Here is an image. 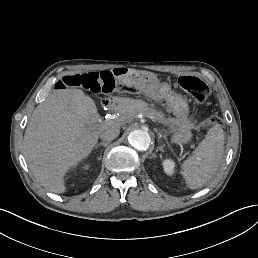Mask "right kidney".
I'll return each instance as SVG.
<instances>
[{
    "label": "right kidney",
    "instance_id": "obj_1",
    "mask_svg": "<svg viewBox=\"0 0 258 258\" xmlns=\"http://www.w3.org/2000/svg\"><path fill=\"white\" fill-rule=\"evenodd\" d=\"M83 168H84V169H89V165L87 164V165H85Z\"/></svg>",
    "mask_w": 258,
    "mask_h": 258
}]
</instances>
